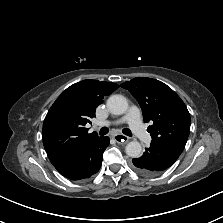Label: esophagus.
Listing matches in <instances>:
<instances>
[{
  "instance_id": "esophagus-1",
  "label": "esophagus",
  "mask_w": 223,
  "mask_h": 223,
  "mask_svg": "<svg viewBox=\"0 0 223 223\" xmlns=\"http://www.w3.org/2000/svg\"><path fill=\"white\" fill-rule=\"evenodd\" d=\"M113 138L118 142V143H127L129 141V137L122 135V134H115L113 135Z\"/></svg>"
}]
</instances>
